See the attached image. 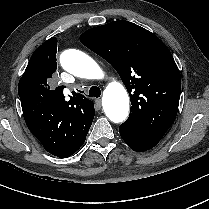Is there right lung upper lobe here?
<instances>
[{"label":"right lung upper lobe","mask_w":209,"mask_h":209,"mask_svg":"<svg viewBox=\"0 0 209 209\" xmlns=\"http://www.w3.org/2000/svg\"><path fill=\"white\" fill-rule=\"evenodd\" d=\"M57 52V38L52 37L39 46L32 54L23 77L32 72L36 62H44L47 66H54ZM57 67V63H56ZM57 69V68H56ZM22 78V77H21ZM18 85V94L21 105L27 102H48L52 105L53 119L51 125L60 128L66 132V141L75 145L86 139L87 133L91 127L95 110L94 104L84 95L72 92L70 100H66L63 95L64 86H58L55 90L49 87L42 93L31 89H20Z\"/></svg>","instance_id":"right-lung-upper-lobe-1"}]
</instances>
